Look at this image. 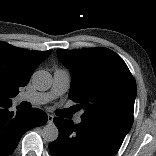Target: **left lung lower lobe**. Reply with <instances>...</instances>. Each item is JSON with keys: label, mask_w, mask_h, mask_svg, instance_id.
Masks as SVG:
<instances>
[{"label": "left lung lower lobe", "mask_w": 156, "mask_h": 156, "mask_svg": "<svg viewBox=\"0 0 156 156\" xmlns=\"http://www.w3.org/2000/svg\"><path fill=\"white\" fill-rule=\"evenodd\" d=\"M54 123L59 136L49 145L52 156H115L128 132L106 122L73 125L56 117Z\"/></svg>", "instance_id": "1"}]
</instances>
